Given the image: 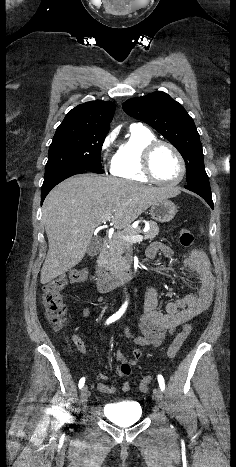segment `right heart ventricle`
<instances>
[{"label": "right heart ventricle", "mask_w": 236, "mask_h": 467, "mask_svg": "<svg viewBox=\"0 0 236 467\" xmlns=\"http://www.w3.org/2000/svg\"><path fill=\"white\" fill-rule=\"evenodd\" d=\"M157 140L148 128L133 124L129 128L127 138L120 144L111 165V174L123 179L148 182L142 171V151L144 147Z\"/></svg>", "instance_id": "right-heart-ventricle-1"}]
</instances>
